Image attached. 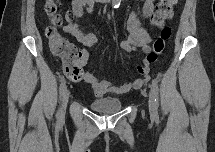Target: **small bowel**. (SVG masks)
I'll use <instances>...</instances> for the list:
<instances>
[{"label": "small bowel", "mask_w": 215, "mask_h": 152, "mask_svg": "<svg viewBox=\"0 0 215 152\" xmlns=\"http://www.w3.org/2000/svg\"><path fill=\"white\" fill-rule=\"evenodd\" d=\"M155 0H145L142 6L143 15L151 19L155 7ZM92 0H73L70 10L74 15V20L64 25V30L72 37H74L82 46L83 60L82 65L85 66L88 59V49L96 46L99 42L98 37L92 33L84 30L81 19L86 13L92 12ZM128 34L121 42V49L127 53L141 49L147 53L150 51V43L152 41L151 35L141 26L137 14L131 12L127 20ZM91 85L93 92L98 97L106 95L119 96L129 92L132 89H140L146 85L149 80L148 73L143 74L141 78L134 80H127L118 85L113 84L106 78H96L87 70H83V76L79 80Z\"/></svg>", "instance_id": "small-bowel-1"}]
</instances>
